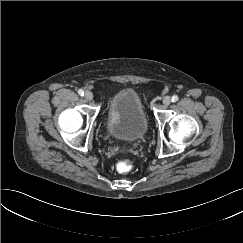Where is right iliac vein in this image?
<instances>
[{"label": "right iliac vein", "instance_id": "right-iliac-vein-1", "mask_svg": "<svg viewBox=\"0 0 243 243\" xmlns=\"http://www.w3.org/2000/svg\"><path fill=\"white\" fill-rule=\"evenodd\" d=\"M85 99L87 101H91L93 99V93L91 91H86L85 92Z\"/></svg>", "mask_w": 243, "mask_h": 243}]
</instances>
